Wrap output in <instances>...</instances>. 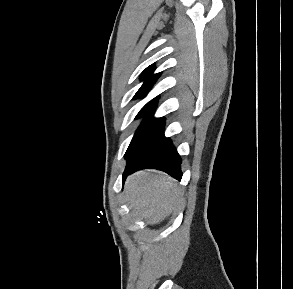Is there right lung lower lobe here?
I'll return each mask as SVG.
<instances>
[{"mask_svg":"<svg viewBox=\"0 0 293 289\" xmlns=\"http://www.w3.org/2000/svg\"><path fill=\"white\" fill-rule=\"evenodd\" d=\"M128 162L123 177L139 169H159L180 180L181 158L164 136V121L156 126L135 146L129 147L125 154Z\"/></svg>","mask_w":293,"mask_h":289,"instance_id":"right-lung-lower-lobe-1","label":"right lung lower lobe"}]
</instances>
